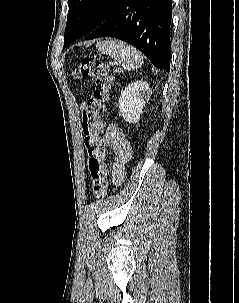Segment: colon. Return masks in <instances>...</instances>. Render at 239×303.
<instances>
[{"instance_id": "1", "label": "colon", "mask_w": 239, "mask_h": 303, "mask_svg": "<svg viewBox=\"0 0 239 303\" xmlns=\"http://www.w3.org/2000/svg\"><path fill=\"white\" fill-rule=\"evenodd\" d=\"M75 78H91L95 82V90L83 114L82 131L84 146L88 154V170L92 180V193L101 199L108 188L109 168L105 161L106 151L102 144L105 130L103 115L110 101V93L114 84V76L109 66L101 59L85 55L73 71Z\"/></svg>"}]
</instances>
